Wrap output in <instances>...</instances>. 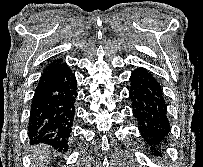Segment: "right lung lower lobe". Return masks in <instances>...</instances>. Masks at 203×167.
<instances>
[{"label": "right lung lower lobe", "instance_id": "right-lung-lower-lobe-1", "mask_svg": "<svg viewBox=\"0 0 203 167\" xmlns=\"http://www.w3.org/2000/svg\"><path fill=\"white\" fill-rule=\"evenodd\" d=\"M75 75L66 64L40 78L28 122L30 144L44 143L66 151L77 97Z\"/></svg>", "mask_w": 203, "mask_h": 167}]
</instances>
